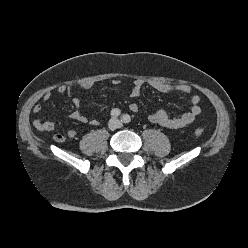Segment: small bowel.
Instances as JSON below:
<instances>
[{
	"instance_id": "obj_1",
	"label": "small bowel",
	"mask_w": 248,
	"mask_h": 248,
	"mask_svg": "<svg viewBox=\"0 0 248 248\" xmlns=\"http://www.w3.org/2000/svg\"><path fill=\"white\" fill-rule=\"evenodd\" d=\"M113 85H119L120 80L119 79H113L112 80ZM145 82L141 79H137L133 82L132 88L130 90V96L132 98L139 97L142 91V88L144 86ZM151 88L155 89L156 91L162 92V93H180L186 96H189V103L191 106V109L184 113L183 115L180 116H170L166 111L164 110H157L149 115V121L160 125L165 128L169 129H180V128H185L190 126L195 119L200 115L201 113V98L198 95H192V89L184 84H172V83H167V82H162V81H149L147 83ZM94 85V82L92 81H87L80 83L77 88L87 90L90 89ZM75 87L72 86H58L56 88V93L59 95H64L67 94L70 98L71 101L74 105V110L70 114V118L80 122V123H89L93 126L98 125V121L96 119H89L81 110V99L77 96H73V91ZM52 94L51 92H47L42 96L43 101L47 102L51 99ZM130 110L132 112H139L140 108L137 103H132L129 106ZM33 112L35 114H40L42 111V105L40 103H36L33 106ZM34 127L38 131H53L55 129V124L54 122L48 120V119H43L41 117H37L34 122H33ZM77 135V132L74 129H70L67 131L66 136L70 139L75 138ZM54 139L58 142H62L65 139V136L62 134H56L54 136Z\"/></svg>"
}]
</instances>
